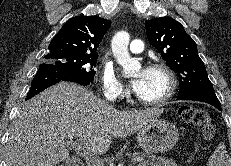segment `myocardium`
<instances>
[{"instance_id":"myocardium-1","label":"myocardium","mask_w":231,"mask_h":166,"mask_svg":"<svg viewBox=\"0 0 231 166\" xmlns=\"http://www.w3.org/2000/svg\"><path fill=\"white\" fill-rule=\"evenodd\" d=\"M148 70H157V71L162 72L167 78V82H168L167 89H166L165 93L157 99L146 100V99H143L139 96H137V99L141 104L146 105V106L163 105L166 102H168L173 97V95L175 94L176 87H177L176 74L169 65H167L164 62H160V61L151 63L148 66Z\"/></svg>"}]
</instances>
